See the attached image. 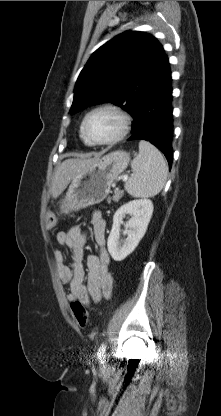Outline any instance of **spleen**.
<instances>
[{
    "mask_svg": "<svg viewBox=\"0 0 221 416\" xmlns=\"http://www.w3.org/2000/svg\"><path fill=\"white\" fill-rule=\"evenodd\" d=\"M131 168L134 175L124 188L132 197H154L163 189L168 167L161 152L150 142H139V154L131 162Z\"/></svg>",
    "mask_w": 221,
    "mask_h": 416,
    "instance_id": "obj_1",
    "label": "spleen"
}]
</instances>
